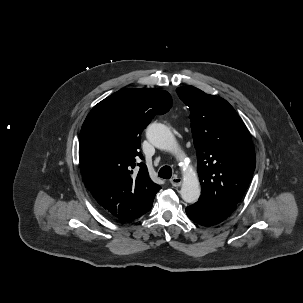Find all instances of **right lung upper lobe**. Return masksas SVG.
<instances>
[{
	"label": "right lung upper lobe",
	"instance_id": "right-lung-upper-lobe-1",
	"mask_svg": "<svg viewBox=\"0 0 303 303\" xmlns=\"http://www.w3.org/2000/svg\"><path fill=\"white\" fill-rule=\"evenodd\" d=\"M172 106L168 92L124 89L95 105L80 132V170L86 188L108 213L132 221L146 213L161 189L138 163L141 133ZM139 165L137 174L134 167Z\"/></svg>",
	"mask_w": 303,
	"mask_h": 303
}]
</instances>
